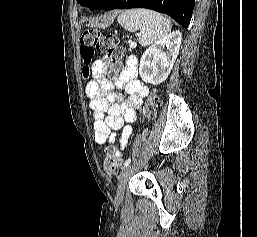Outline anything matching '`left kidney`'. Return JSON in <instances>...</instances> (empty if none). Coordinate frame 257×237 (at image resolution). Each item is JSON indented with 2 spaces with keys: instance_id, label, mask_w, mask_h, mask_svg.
Instances as JSON below:
<instances>
[{
  "instance_id": "1",
  "label": "left kidney",
  "mask_w": 257,
  "mask_h": 237,
  "mask_svg": "<svg viewBox=\"0 0 257 237\" xmlns=\"http://www.w3.org/2000/svg\"><path fill=\"white\" fill-rule=\"evenodd\" d=\"M181 40L179 31L172 32L143 53L139 74L144 82L158 85L168 77L178 56Z\"/></svg>"
}]
</instances>
